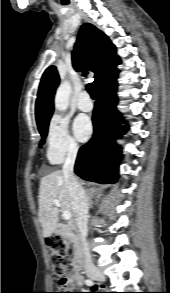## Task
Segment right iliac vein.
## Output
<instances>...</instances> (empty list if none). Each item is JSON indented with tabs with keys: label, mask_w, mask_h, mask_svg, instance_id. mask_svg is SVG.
Masks as SVG:
<instances>
[{
	"label": "right iliac vein",
	"mask_w": 170,
	"mask_h": 293,
	"mask_svg": "<svg viewBox=\"0 0 170 293\" xmlns=\"http://www.w3.org/2000/svg\"><path fill=\"white\" fill-rule=\"evenodd\" d=\"M89 276L95 280H98V281H105L104 274L98 269L91 270L89 272Z\"/></svg>",
	"instance_id": "63e3f726"
}]
</instances>
